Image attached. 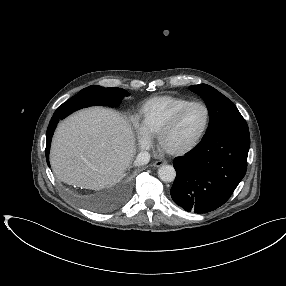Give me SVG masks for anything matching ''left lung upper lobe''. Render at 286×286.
I'll return each mask as SVG.
<instances>
[{
    "instance_id": "5c2ea615",
    "label": "left lung upper lobe",
    "mask_w": 286,
    "mask_h": 286,
    "mask_svg": "<svg viewBox=\"0 0 286 286\" xmlns=\"http://www.w3.org/2000/svg\"><path fill=\"white\" fill-rule=\"evenodd\" d=\"M189 89L203 98L209 111V126L204 136L225 129H248L245 119L227 97L207 84L190 86Z\"/></svg>"
}]
</instances>
